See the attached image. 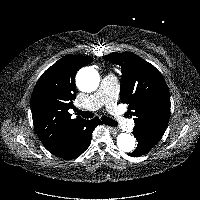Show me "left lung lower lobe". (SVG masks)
<instances>
[{"label":"left lung lower lobe","mask_w":200,"mask_h":200,"mask_svg":"<svg viewBox=\"0 0 200 200\" xmlns=\"http://www.w3.org/2000/svg\"><path fill=\"white\" fill-rule=\"evenodd\" d=\"M133 135L136 137L138 145L132 153H129L132 157L148 153L159 141L155 136L148 133H141L140 131L133 130Z\"/></svg>","instance_id":"left-lung-lower-lobe-1"}]
</instances>
